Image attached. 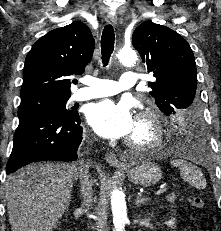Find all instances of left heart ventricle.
Instances as JSON below:
<instances>
[{
    "label": "left heart ventricle",
    "instance_id": "obj_1",
    "mask_svg": "<svg viewBox=\"0 0 221 231\" xmlns=\"http://www.w3.org/2000/svg\"><path fill=\"white\" fill-rule=\"evenodd\" d=\"M149 136L150 131L138 122H136L132 133L129 135V137L140 141L148 139Z\"/></svg>",
    "mask_w": 221,
    "mask_h": 231
}]
</instances>
